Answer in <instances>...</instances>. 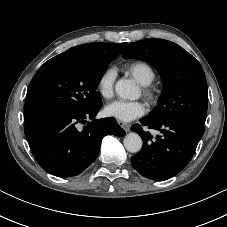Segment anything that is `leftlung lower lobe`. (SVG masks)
Returning <instances> with one entry per match:
<instances>
[{
  "label": "left lung lower lobe",
  "mask_w": 227,
  "mask_h": 227,
  "mask_svg": "<svg viewBox=\"0 0 227 227\" xmlns=\"http://www.w3.org/2000/svg\"><path fill=\"white\" fill-rule=\"evenodd\" d=\"M141 124L160 131L155 139L150 132L144 131L138 124L131 127L143 140L141 151L131 158L133 167L144 177L167 180L190 162L204 126L185 119H168L159 122L144 117Z\"/></svg>",
  "instance_id": "1"
}]
</instances>
